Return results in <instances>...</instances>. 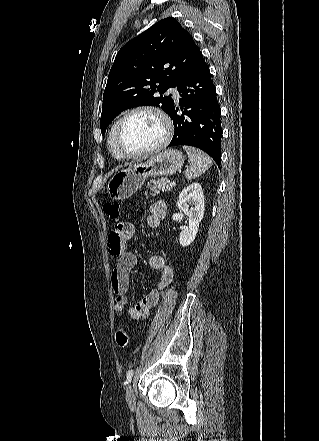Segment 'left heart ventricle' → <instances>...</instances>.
Returning <instances> with one entry per match:
<instances>
[{
  "label": "left heart ventricle",
  "mask_w": 319,
  "mask_h": 441,
  "mask_svg": "<svg viewBox=\"0 0 319 441\" xmlns=\"http://www.w3.org/2000/svg\"><path fill=\"white\" fill-rule=\"evenodd\" d=\"M163 137L160 120L150 113L130 116L122 126L120 140L129 152H141L157 145Z\"/></svg>",
  "instance_id": "b2bd125f"
}]
</instances>
